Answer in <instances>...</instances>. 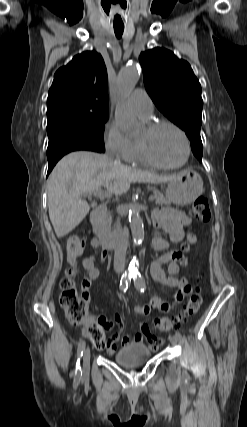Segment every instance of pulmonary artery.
<instances>
[{
    "label": "pulmonary artery",
    "instance_id": "e3ab8cb5",
    "mask_svg": "<svg viewBox=\"0 0 247 427\" xmlns=\"http://www.w3.org/2000/svg\"><path fill=\"white\" fill-rule=\"evenodd\" d=\"M129 104L133 111L143 119H149L153 113V102L148 93L141 88H137L132 93Z\"/></svg>",
    "mask_w": 247,
    "mask_h": 427
}]
</instances>
